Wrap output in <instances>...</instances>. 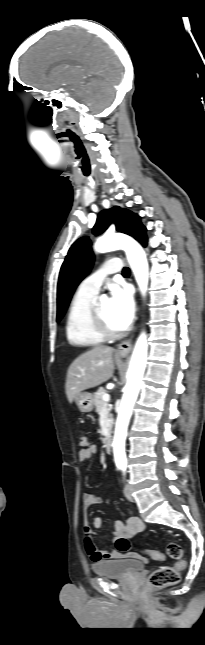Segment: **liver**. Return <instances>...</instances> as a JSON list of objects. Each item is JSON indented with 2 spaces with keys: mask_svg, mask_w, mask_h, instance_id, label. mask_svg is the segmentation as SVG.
Wrapping results in <instances>:
<instances>
[{
  "mask_svg": "<svg viewBox=\"0 0 205 645\" xmlns=\"http://www.w3.org/2000/svg\"><path fill=\"white\" fill-rule=\"evenodd\" d=\"M113 352L112 347L99 345L72 362L65 385L69 402L82 391L96 387L111 378L114 371Z\"/></svg>",
  "mask_w": 205,
  "mask_h": 645,
  "instance_id": "liver-1",
  "label": "liver"
}]
</instances>
